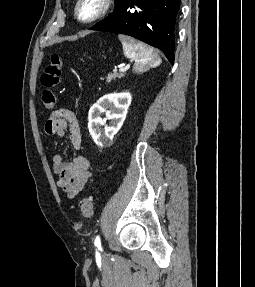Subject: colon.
I'll return each mask as SVG.
<instances>
[{"label": "colon", "instance_id": "1", "mask_svg": "<svg viewBox=\"0 0 255 287\" xmlns=\"http://www.w3.org/2000/svg\"><path fill=\"white\" fill-rule=\"evenodd\" d=\"M62 68V59L58 54H52L48 65L41 76V83L46 88L42 93L43 105L46 109H53L56 105L55 89L60 82ZM80 210L85 218L93 216L92 199L88 196H83L80 199Z\"/></svg>", "mask_w": 255, "mask_h": 287}]
</instances>
